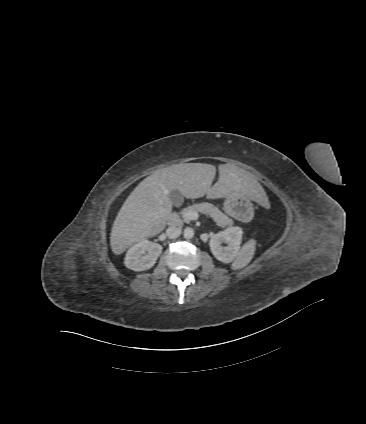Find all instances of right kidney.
Masks as SVG:
<instances>
[{"label": "right kidney", "instance_id": "right-kidney-1", "mask_svg": "<svg viewBox=\"0 0 366 424\" xmlns=\"http://www.w3.org/2000/svg\"><path fill=\"white\" fill-rule=\"evenodd\" d=\"M162 249L160 244L143 239L127 251L124 264L134 271L150 269L156 263Z\"/></svg>", "mask_w": 366, "mask_h": 424}]
</instances>
